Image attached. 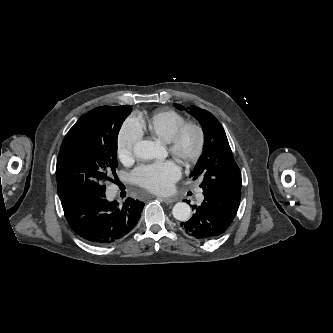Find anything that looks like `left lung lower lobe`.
<instances>
[{"mask_svg":"<svg viewBox=\"0 0 333 333\" xmlns=\"http://www.w3.org/2000/svg\"><path fill=\"white\" fill-rule=\"evenodd\" d=\"M204 200L192 206L195 214L180 225L197 239H208L222 234L232 223L241 198V191H213L203 188Z\"/></svg>","mask_w":333,"mask_h":333,"instance_id":"1","label":"left lung lower lobe"}]
</instances>
